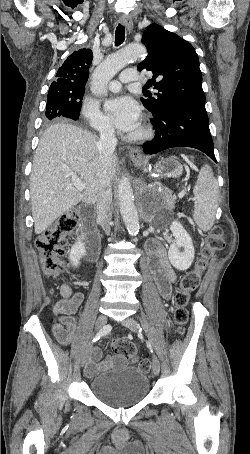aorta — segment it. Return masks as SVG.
I'll return each mask as SVG.
<instances>
[{
    "instance_id": "762f6f07",
    "label": "aorta",
    "mask_w": 250,
    "mask_h": 454,
    "mask_svg": "<svg viewBox=\"0 0 250 454\" xmlns=\"http://www.w3.org/2000/svg\"><path fill=\"white\" fill-rule=\"evenodd\" d=\"M146 48L142 44L130 43L107 57L92 74L91 92L96 97L104 95L108 82L131 60L144 57ZM120 213L131 235L139 232L138 212L134 204L133 190L128 176L122 175L118 185Z\"/></svg>"
}]
</instances>
